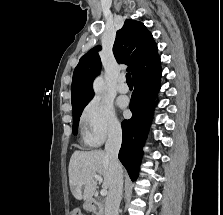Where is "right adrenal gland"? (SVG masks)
<instances>
[{
	"instance_id": "obj_1",
	"label": "right adrenal gland",
	"mask_w": 223,
	"mask_h": 215,
	"mask_svg": "<svg viewBox=\"0 0 223 215\" xmlns=\"http://www.w3.org/2000/svg\"><path fill=\"white\" fill-rule=\"evenodd\" d=\"M123 189H124V187H123ZM123 189H122V191H123ZM122 197H123V193H122ZM122 197H121V199H122Z\"/></svg>"
}]
</instances>
